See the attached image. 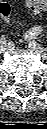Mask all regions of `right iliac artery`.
I'll list each match as a JSON object with an SVG mask.
<instances>
[{"mask_svg":"<svg viewBox=\"0 0 47 129\" xmlns=\"http://www.w3.org/2000/svg\"><path fill=\"white\" fill-rule=\"evenodd\" d=\"M0 44L1 45L6 44V39L4 37L0 38Z\"/></svg>","mask_w":47,"mask_h":129,"instance_id":"obj_1","label":"right iliac artery"}]
</instances>
